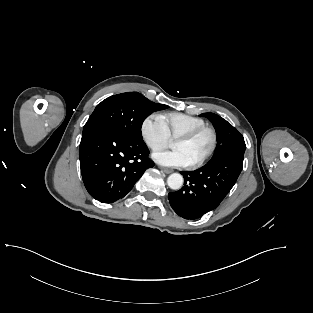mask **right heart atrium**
I'll list each match as a JSON object with an SVG mask.
<instances>
[{
  "label": "right heart atrium",
  "mask_w": 313,
  "mask_h": 313,
  "mask_svg": "<svg viewBox=\"0 0 313 313\" xmlns=\"http://www.w3.org/2000/svg\"><path fill=\"white\" fill-rule=\"evenodd\" d=\"M140 130L144 142L153 151L166 147L170 142L171 138L158 114L147 116L143 120Z\"/></svg>",
  "instance_id": "obj_1"
}]
</instances>
